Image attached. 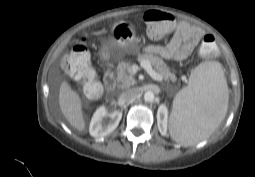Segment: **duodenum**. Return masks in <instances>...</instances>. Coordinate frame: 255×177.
<instances>
[{
	"mask_svg": "<svg viewBox=\"0 0 255 177\" xmlns=\"http://www.w3.org/2000/svg\"><path fill=\"white\" fill-rule=\"evenodd\" d=\"M104 85L109 92H114L116 89V80L111 71L106 70L104 75Z\"/></svg>",
	"mask_w": 255,
	"mask_h": 177,
	"instance_id": "410a0bca",
	"label": "duodenum"
}]
</instances>
